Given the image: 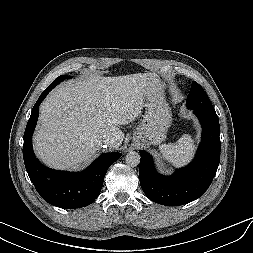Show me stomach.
<instances>
[{
  "label": "stomach",
  "mask_w": 253,
  "mask_h": 253,
  "mask_svg": "<svg viewBox=\"0 0 253 253\" xmlns=\"http://www.w3.org/2000/svg\"><path fill=\"white\" fill-rule=\"evenodd\" d=\"M144 106L145 115L134 132L133 141L145 145H158L165 140L172 123V113L161 83L147 89Z\"/></svg>",
  "instance_id": "1"
}]
</instances>
